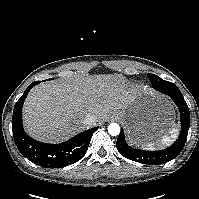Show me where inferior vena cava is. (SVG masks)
Returning a JSON list of instances; mask_svg holds the SVG:
<instances>
[{"label": "inferior vena cava", "instance_id": "1", "mask_svg": "<svg viewBox=\"0 0 199 199\" xmlns=\"http://www.w3.org/2000/svg\"><path fill=\"white\" fill-rule=\"evenodd\" d=\"M83 123L86 127H92L96 124V119L94 116L88 114L85 119L83 120Z\"/></svg>", "mask_w": 199, "mask_h": 199}]
</instances>
